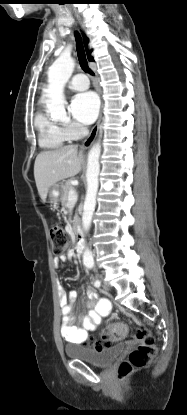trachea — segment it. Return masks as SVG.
<instances>
[{"label":"trachea","instance_id":"trachea-1","mask_svg":"<svg viewBox=\"0 0 187 415\" xmlns=\"http://www.w3.org/2000/svg\"><path fill=\"white\" fill-rule=\"evenodd\" d=\"M76 45H77V55H78V60H79V64L81 66V68L91 74L94 75L93 71L89 68L87 59H86V54L82 45V40L79 34L76 33Z\"/></svg>","mask_w":187,"mask_h":415}]
</instances>
